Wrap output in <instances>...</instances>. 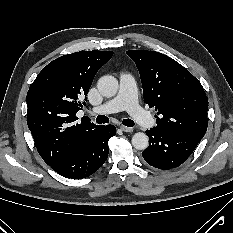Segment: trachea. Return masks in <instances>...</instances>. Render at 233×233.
Returning a JSON list of instances; mask_svg holds the SVG:
<instances>
[{
	"instance_id": "3493384b",
	"label": "trachea",
	"mask_w": 233,
	"mask_h": 233,
	"mask_svg": "<svg viewBox=\"0 0 233 233\" xmlns=\"http://www.w3.org/2000/svg\"><path fill=\"white\" fill-rule=\"evenodd\" d=\"M96 122L98 124H104V123H108L109 122V118L105 115H98L96 117ZM123 125L127 126V127H133L135 125L134 121L131 119H124L122 121Z\"/></svg>"
}]
</instances>
